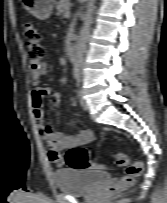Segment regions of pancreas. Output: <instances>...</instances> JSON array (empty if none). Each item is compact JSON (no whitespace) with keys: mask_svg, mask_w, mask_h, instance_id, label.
Returning <instances> with one entry per match:
<instances>
[{"mask_svg":"<svg viewBox=\"0 0 167 203\" xmlns=\"http://www.w3.org/2000/svg\"><path fill=\"white\" fill-rule=\"evenodd\" d=\"M70 8V0H60L56 5L57 15L65 16Z\"/></svg>","mask_w":167,"mask_h":203,"instance_id":"cf45deb5","label":"pancreas"}]
</instances>
